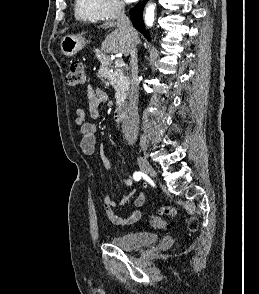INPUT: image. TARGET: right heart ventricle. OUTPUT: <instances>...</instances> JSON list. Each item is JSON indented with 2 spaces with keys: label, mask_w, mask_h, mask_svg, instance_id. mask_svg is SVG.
<instances>
[{
  "label": "right heart ventricle",
  "mask_w": 259,
  "mask_h": 294,
  "mask_svg": "<svg viewBox=\"0 0 259 294\" xmlns=\"http://www.w3.org/2000/svg\"><path fill=\"white\" fill-rule=\"evenodd\" d=\"M74 8L78 20L98 22L102 19L95 0H75Z\"/></svg>",
  "instance_id": "1"
}]
</instances>
